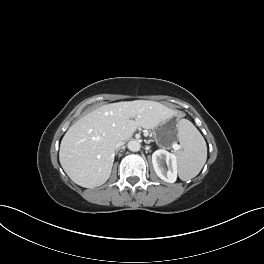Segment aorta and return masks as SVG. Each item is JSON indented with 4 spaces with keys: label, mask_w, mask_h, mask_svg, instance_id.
<instances>
[{
    "label": "aorta",
    "mask_w": 264,
    "mask_h": 264,
    "mask_svg": "<svg viewBox=\"0 0 264 264\" xmlns=\"http://www.w3.org/2000/svg\"><path fill=\"white\" fill-rule=\"evenodd\" d=\"M127 147L130 151L137 152L140 150L141 144L136 140H132L128 142Z\"/></svg>",
    "instance_id": "aorta-1"
}]
</instances>
